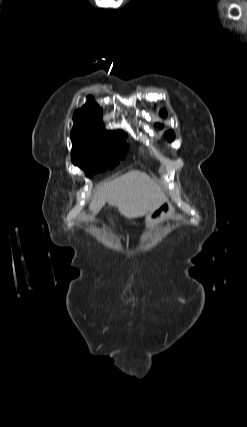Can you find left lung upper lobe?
<instances>
[{"instance_id": "1", "label": "left lung upper lobe", "mask_w": 247, "mask_h": 427, "mask_svg": "<svg viewBox=\"0 0 247 427\" xmlns=\"http://www.w3.org/2000/svg\"><path fill=\"white\" fill-rule=\"evenodd\" d=\"M160 115L161 116H165L166 115V112H165V110H161L160 111ZM157 126V125H156ZM162 126L161 125H159V128H161ZM164 136H165V138L168 140V141H172L173 139H174V133H173V131H167L165 134H164Z\"/></svg>"}]
</instances>
